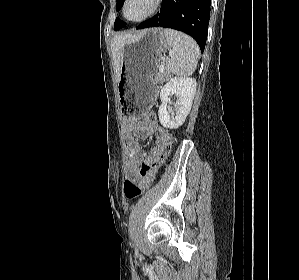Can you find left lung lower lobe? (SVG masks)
<instances>
[{
	"label": "left lung lower lobe",
	"mask_w": 299,
	"mask_h": 280,
	"mask_svg": "<svg viewBox=\"0 0 299 280\" xmlns=\"http://www.w3.org/2000/svg\"><path fill=\"white\" fill-rule=\"evenodd\" d=\"M211 0H162L161 10L136 29L165 27L192 36L203 52L207 39Z\"/></svg>",
	"instance_id": "obj_1"
}]
</instances>
